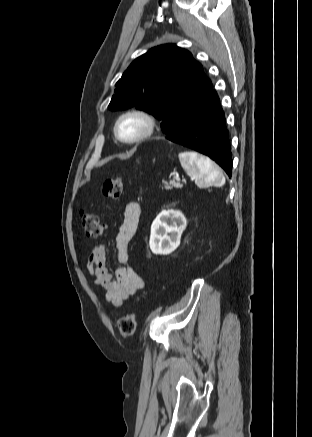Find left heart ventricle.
<instances>
[{
    "label": "left heart ventricle",
    "mask_w": 312,
    "mask_h": 437,
    "mask_svg": "<svg viewBox=\"0 0 312 437\" xmlns=\"http://www.w3.org/2000/svg\"><path fill=\"white\" fill-rule=\"evenodd\" d=\"M145 121L136 116L125 118L120 124V133L124 138H134L141 134L145 129Z\"/></svg>",
    "instance_id": "left-heart-ventricle-1"
}]
</instances>
